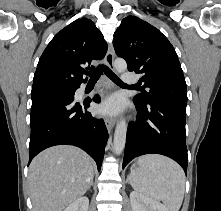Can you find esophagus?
Masks as SVG:
<instances>
[{"instance_id":"34e87169","label":"esophagus","mask_w":221,"mask_h":211,"mask_svg":"<svg viewBox=\"0 0 221 211\" xmlns=\"http://www.w3.org/2000/svg\"><path fill=\"white\" fill-rule=\"evenodd\" d=\"M106 64L112 70H114V50L112 45L108 47V51L105 57ZM104 122L109 131H111L115 125V120L110 117H104Z\"/></svg>"}]
</instances>
